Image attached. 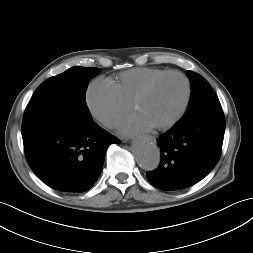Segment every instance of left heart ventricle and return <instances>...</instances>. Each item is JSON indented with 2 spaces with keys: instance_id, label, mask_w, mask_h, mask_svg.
<instances>
[{
  "instance_id": "1",
  "label": "left heart ventricle",
  "mask_w": 253,
  "mask_h": 253,
  "mask_svg": "<svg viewBox=\"0 0 253 253\" xmlns=\"http://www.w3.org/2000/svg\"><path fill=\"white\" fill-rule=\"evenodd\" d=\"M185 82L177 75L168 76L158 82L153 89L134 107L153 126L169 121L180 109L185 96Z\"/></svg>"
}]
</instances>
